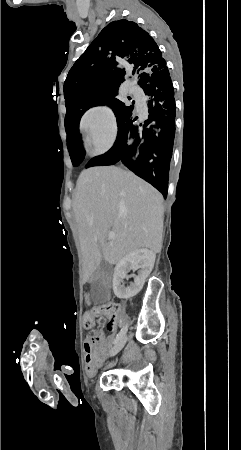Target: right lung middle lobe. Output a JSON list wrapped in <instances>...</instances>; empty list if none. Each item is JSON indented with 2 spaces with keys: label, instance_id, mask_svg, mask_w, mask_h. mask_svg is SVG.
<instances>
[{
  "label": "right lung middle lobe",
  "instance_id": "obj_1",
  "mask_svg": "<svg viewBox=\"0 0 241 450\" xmlns=\"http://www.w3.org/2000/svg\"><path fill=\"white\" fill-rule=\"evenodd\" d=\"M118 90L100 88L91 85L81 76L69 72L64 83V98L67 113L65 120L70 116L82 115L93 106L108 105L117 117V124L134 117V106H126L117 98ZM134 104V101L132 102ZM73 166H78L84 159V154L69 150Z\"/></svg>",
  "mask_w": 241,
  "mask_h": 450
}]
</instances>
